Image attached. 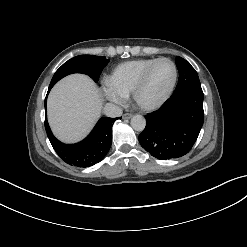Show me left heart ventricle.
<instances>
[{"label":"left heart ventricle","instance_id":"left-heart-ventricle-1","mask_svg":"<svg viewBox=\"0 0 247 247\" xmlns=\"http://www.w3.org/2000/svg\"><path fill=\"white\" fill-rule=\"evenodd\" d=\"M173 79V67L167 61L158 62L150 71L140 93L143 103L151 104L163 97Z\"/></svg>","mask_w":247,"mask_h":247}]
</instances>
